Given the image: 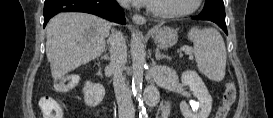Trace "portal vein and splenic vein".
Here are the masks:
<instances>
[{
    "label": "portal vein and splenic vein",
    "instance_id": "obj_1",
    "mask_svg": "<svg viewBox=\"0 0 273 118\" xmlns=\"http://www.w3.org/2000/svg\"><path fill=\"white\" fill-rule=\"evenodd\" d=\"M181 50L184 51V52H186L187 54H190V52H191V49L188 48V47L182 48Z\"/></svg>",
    "mask_w": 273,
    "mask_h": 118
}]
</instances>
